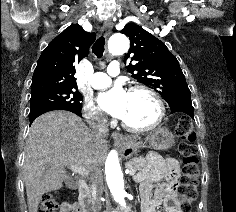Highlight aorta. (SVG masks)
<instances>
[{"label": "aorta", "instance_id": "1", "mask_svg": "<svg viewBox=\"0 0 236 212\" xmlns=\"http://www.w3.org/2000/svg\"><path fill=\"white\" fill-rule=\"evenodd\" d=\"M108 49L112 55H121L128 51L129 40L124 34H114L108 41ZM106 181L114 200L125 212L128 210L126 193L124 190L123 174L120 167L118 153L112 150L105 163Z\"/></svg>", "mask_w": 236, "mask_h": 212}]
</instances>
